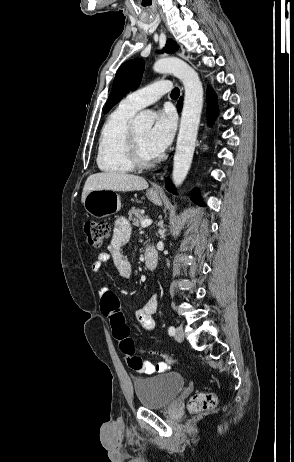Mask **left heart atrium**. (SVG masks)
Masks as SVG:
<instances>
[{
    "instance_id": "left-heart-atrium-1",
    "label": "left heart atrium",
    "mask_w": 294,
    "mask_h": 462,
    "mask_svg": "<svg viewBox=\"0 0 294 462\" xmlns=\"http://www.w3.org/2000/svg\"><path fill=\"white\" fill-rule=\"evenodd\" d=\"M175 129L176 119L171 110L165 109L156 114L147 138L148 147L154 156L161 154L170 145Z\"/></svg>"
}]
</instances>
